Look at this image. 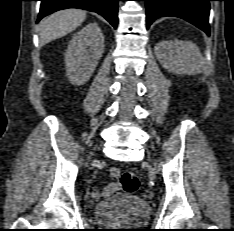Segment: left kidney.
<instances>
[{"label":"left kidney","mask_w":234,"mask_h":231,"mask_svg":"<svg viewBox=\"0 0 234 231\" xmlns=\"http://www.w3.org/2000/svg\"><path fill=\"white\" fill-rule=\"evenodd\" d=\"M155 55L163 68L180 75L209 73L210 64L202 62L199 48L191 41L165 40L154 47Z\"/></svg>","instance_id":"obj_1"}]
</instances>
